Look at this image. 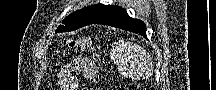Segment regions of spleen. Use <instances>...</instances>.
Returning <instances> with one entry per match:
<instances>
[{
	"label": "spleen",
	"instance_id": "spleen-1",
	"mask_svg": "<svg viewBox=\"0 0 216 90\" xmlns=\"http://www.w3.org/2000/svg\"><path fill=\"white\" fill-rule=\"evenodd\" d=\"M121 48L125 58H127V68H130V72L144 74L150 60L146 50L138 44H133V42H122Z\"/></svg>",
	"mask_w": 216,
	"mask_h": 90
}]
</instances>
